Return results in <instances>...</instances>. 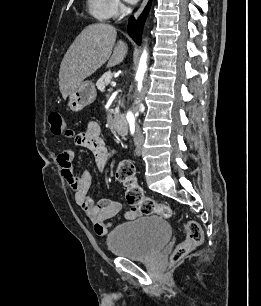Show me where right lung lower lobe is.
<instances>
[{
    "label": "right lung lower lobe",
    "instance_id": "obj_1",
    "mask_svg": "<svg viewBox=\"0 0 261 306\" xmlns=\"http://www.w3.org/2000/svg\"><path fill=\"white\" fill-rule=\"evenodd\" d=\"M149 8H150V2L145 8L144 12L138 18V21L134 20V17H131L129 19L128 34L138 45H140L141 43V33L143 30L144 22L146 20Z\"/></svg>",
    "mask_w": 261,
    "mask_h": 306
}]
</instances>
